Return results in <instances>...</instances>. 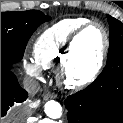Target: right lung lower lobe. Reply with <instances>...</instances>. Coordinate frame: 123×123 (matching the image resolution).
<instances>
[{"instance_id": "obj_1", "label": "right lung lower lobe", "mask_w": 123, "mask_h": 123, "mask_svg": "<svg viewBox=\"0 0 123 123\" xmlns=\"http://www.w3.org/2000/svg\"><path fill=\"white\" fill-rule=\"evenodd\" d=\"M28 93L21 88L14 73L7 68H1V117H4L10 107L24 102Z\"/></svg>"}]
</instances>
